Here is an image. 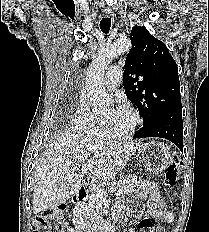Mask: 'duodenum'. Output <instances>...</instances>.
Masks as SVG:
<instances>
[{
  "instance_id": "obj_1",
  "label": "duodenum",
  "mask_w": 209,
  "mask_h": 232,
  "mask_svg": "<svg viewBox=\"0 0 209 232\" xmlns=\"http://www.w3.org/2000/svg\"><path fill=\"white\" fill-rule=\"evenodd\" d=\"M88 197V192L85 187H81L77 194L72 197V203L75 206L82 205L86 202ZM109 226L106 224H101L100 226L95 227L94 229H88L86 227L79 226L78 232H108Z\"/></svg>"
}]
</instances>
